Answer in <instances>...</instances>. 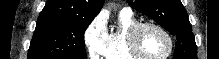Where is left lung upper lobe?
<instances>
[{
	"label": "left lung upper lobe",
	"instance_id": "left-lung-upper-lobe-1",
	"mask_svg": "<svg viewBox=\"0 0 219 59\" xmlns=\"http://www.w3.org/2000/svg\"><path fill=\"white\" fill-rule=\"evenodd\" d=\"M127 2L176 37L173 59H198L192 27L180 0H127Z\"/></svg>",
	"mask_w": 219,
	"mask_h": 59
}]
</instances>
